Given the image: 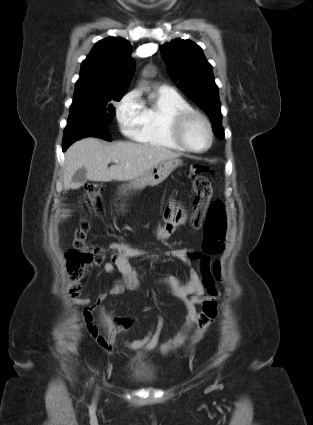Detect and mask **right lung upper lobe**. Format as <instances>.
Masks as SVG:
<instances>
[{"instance_id":"right-lung-upper-lobe-1","label":"right lung upper lobe","mask_w":313,"mask_h":425,"mask_svg":"<svg viewBox=\"0 0 313 425\" xmlns=\"http://www.w3.org/2000/svg\"><path fill=\"white\" fill-rule=\"evenodd\" d=\"M131 51V44L123 38L98 41L82 62L74 98L125 93L134 71Z\"/></svg>"}]
</instances>
